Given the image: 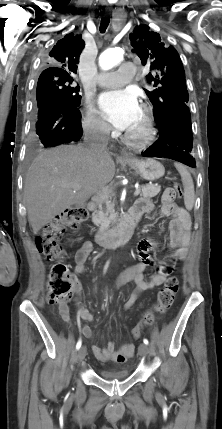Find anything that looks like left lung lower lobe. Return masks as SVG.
<instances>
[{"mask_svg":"<svg viewBox=\"0 0 222 429\" xmlns=\"http://www.w3.org/2000/svg\"><path fill=\"white\" fill-rule=\"evenodd\" d=\"M159 139L142 152L145 157L169 158L195 168V158L191 155L193 135L189 110L173 113L162 124L156 125Z\"/></svg>","mask_w":222,"mask_h":429,"instance_id":"0a47b994","label":"left lung lower lobe"}]
</instances>
